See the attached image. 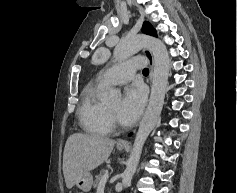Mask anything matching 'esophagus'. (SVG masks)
I'll use <instances>...</instances> for the list:
<instances>
[{
  "label": "esophagus",
  "instance_id": "obj_1",
  "mask_svg": "<svg viewBox=\"0 0 237 193\" xmlns=\"http://www.w3.org/2000/svg\"><path fill=\"white\" fill-rule=\"evenodd\" d=\"M144 54L146 55L148 62H149V66H150V74L148 77V81L150 82L152 79V74H153L154 59H153V55L150 50L145 49ZM117 144L118 145H128V142L124 139H120V140H118Z\"/></svg>",
  "mask_w": 237,
  "mask_h": 193
}]
</instances>
